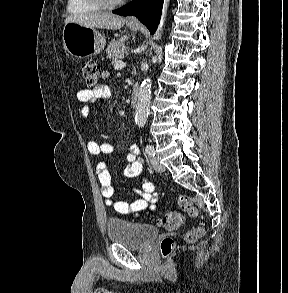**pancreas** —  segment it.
Listing matches in <instances>:
<instances>
[{"mask_svg": "<svg viewBox=\"0 0 288 293\" xmlns=\"http://www.w3.org/2000/svg\"><path fill=\"white\" fill-rule=\"evenodd\" d=\"M124 41L125 38L112 40L106 49L107 58H110L114 61L122 57L124 50L126 48Z\"/></svg>", "mask_w": 288, "mask_h": 293, "instance_id": "pancreas-1", "label": "pancreas"}]
</instances>
